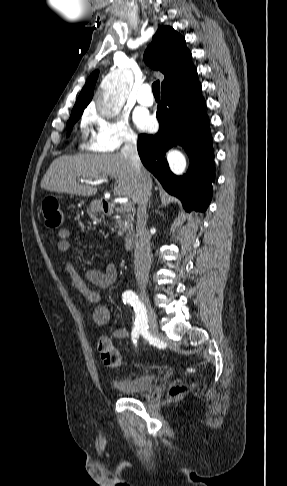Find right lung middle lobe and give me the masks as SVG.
Wrapping results in <instances>:
<instances>
[{"label": "right lung middle lobe", "instance_id": "dd1d6c3e", "mask_svg": "<svg viewBox=\"0 0 287 486\" xmlns=\"http://www.w3.org/2000/svg\"><path fill=\"white\" fill-rule=\"evenodd\" d=\"M81 115H82V113L71 114L70 119L67 123V127H68V134L67 135L70 134V131H71L73 124L80 118Z\"/></svg>", "mask_w": 287, "mask_h": 486}]
</instances>
